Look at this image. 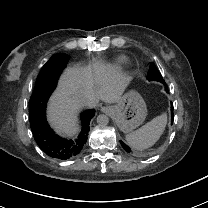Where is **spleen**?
Listing matches in <instances>:
<instances>
[{
  "instance_id": "obj_1",
  "label": "spleen",
  "mask_w": 208,
  "mask_h": 208,
  "mask_svg": "<svg viewBox=\"0 0 208 208\" xmlns=\"http://www.w3.org/2000/svg\"><path fill=\"white\" fill-rule=\"evenodd\" d=\"M167 124V114L153 118L138 130L126 135L128 145L136 150H144L153 146L163 134Z\"/></svg>"
}]
</instances>
